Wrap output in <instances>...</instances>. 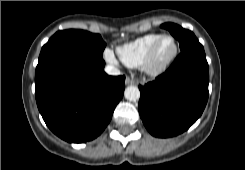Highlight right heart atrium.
Here are the masks:
<instances>
[{"label":"right heart atrium","instance_id":"d8ad5b80","mask_svg":"<svg viewBox=\"0 0 245 170\" xmlns=\"http://www.w3.org/2000/svg\"><path fill=\"white\" fill-rule=\"evenodd\" d=\"M105 59L110 63H116V59L114 57V54L110 49H106L104 52Z\"/></svg>","mask_w":245,"mask_h":170}]
</instances>
